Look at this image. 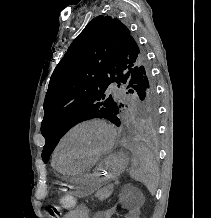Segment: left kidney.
Returning <instances> with one entry per match:
<instances>
[{"label":"left kidney","mask_w":211,"mask_h":218,"mask_svg":"<svg viewBox=\"0 0 211 218\" xmlns=\"http://www.w3.org/2000/svg\"><path fill=\"white\" fill-rule=\"evenodd\" d=\"M121 207H125L124 218H139L138 210L132 207V198H121ZM108 217L119 218L117 207H111V210H108Z\"/></svg>","instance_id":"1"}]
</instances>
